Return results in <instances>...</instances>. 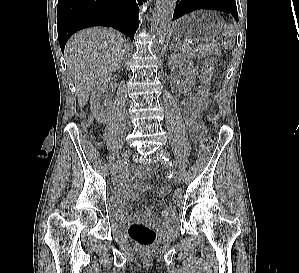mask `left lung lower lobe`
Segmentation results:
<instances>
[{
    "label": "left lung lower lobe",
    "mask_w": 299,
    "mask_h": 273,
    "mask_svg": "<svg viewBox=\"0 0 299 273\" xmlns=\"http://www.w3.org/2000/svg\"><path fill=\"white\" fill-rule=\"evenodd\" d=\"M198 9H212L230 13L238 21L235 0H177L173 20Z\"/></svg>",
    "instance_id": "1"
}]
</instances>
